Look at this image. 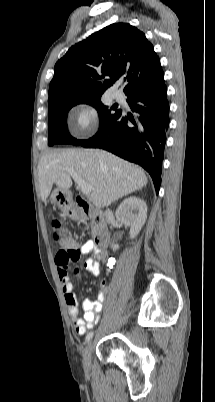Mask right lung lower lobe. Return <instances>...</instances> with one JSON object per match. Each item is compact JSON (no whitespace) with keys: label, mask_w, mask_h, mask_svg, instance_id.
Here are the masks:
<instances>
[{"label":"right lung lower lobe","mask_w":215,"mask_h":402,"mask_svg":"<svg viewBox=\"0 0 215 402\" xmlns=\"http://www.w3.org/2000/svg\"><path fill=\"white\" fill-rule=\"evenodd\" d=\"M165 82L137 89L127 95L137 117L118 115L103 129L80 145L103 148L142 166L152 177L156 193L161 184L162 161L169 127V103Z\"/></svg>","instance_id":"obj_1"}]
</instances>
